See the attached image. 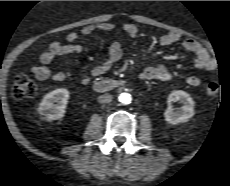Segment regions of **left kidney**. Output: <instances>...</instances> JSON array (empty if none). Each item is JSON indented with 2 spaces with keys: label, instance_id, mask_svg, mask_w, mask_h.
I'll list each match as a JSON object with an SVG mask.
<instances>
[{
  "label": "left kidney",
  "instance_id": "left-kidney-1",
  "mask_svg": "<svg viewBox=\"0 0 230 186\" xmlns=\"http://www.w3.org/2000/svg\"><path fill=\"white\" fill-rule=\"evenodd\" d=\"M179 101L183 104L181 111H174L172 102ZM168 108L164 112L165 120L173 125L187 122L194 116V101L192 97L181 90L172 91L167 98Z\"/></svg>",
  "mask_w": 230,
  "mask_h": 186
}]
</instances>
